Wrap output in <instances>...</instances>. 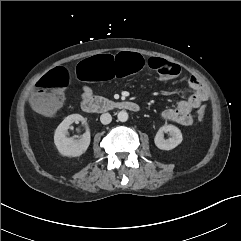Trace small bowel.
Here are the masks:
<instances>
[{"label":"small bowel","mask_w":241,"mask_h":241,"mask_svg":"<svg viewBox=\"0 0 241 241\" xmlns=\"http://www.w3.org/2000/svg\"><path fill=\"white\" fill-rule=\"evenodd\" d=\"M188 84L193 93L186 99L179 101L176 107L165 109L162 112V117L165 120L173 121L183 126H190L193 123L192 110L199 108L207 100L208 94L206 88L197 77L191 76L188 79ZM90 97H93L91 89L88 86H83L81 98L86 99Z\"/></svg>","instance_id":"small-bowel-1"}]
</instances>
